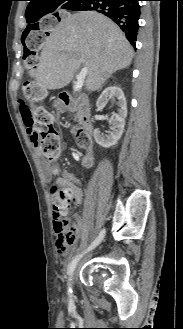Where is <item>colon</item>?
<instances>
[{
  "label": "colon",
  "mask_w": 183,
  "mask_h": 329,
  "mask_svg": "<svg viewBox=\"0 0 183 329\" xmlns=\"http://www.w3.org/2000/svg\"><path fill=\"white\" fill-rule=\"evenodd\" d=\"M58 21H68V14H44V19H36V25H26V31H20V43L23 49V62L25 67L33 72L38 65V52L43 49V43L50 37V32H54V26ZM26 95L34 99L39 94V87L34 82H29L25 86ZM23 96L21 101L26 103L28 98ZM21 114H29L28 124L32 133V140L39 147V151L44 158V165L47 170L57 173L55 165L60 154V139L58 132L54 128L52 114L41 106L21 107ZM80 144H89V138L85 134L78 135ZM84 164L89 166L91 159L86 157ZM53 215L57 218L67 234L68 242L75 240L76 233L73 224L66 218V215L74 200L71 183L58 177L51 187Z\"/></svg>",
  "instance_id": "1"
}]
</instances>
